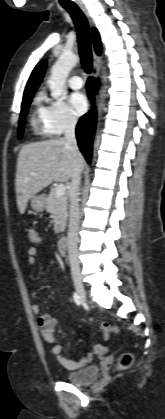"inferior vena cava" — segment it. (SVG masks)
I'll return each instance as SVG.
<instances>
[{"mask_svg": "<svg viewBox=\"0 0 165 419\" xmlns=\"http://www.w3.org/2000/svg\"><path fill=\"white\" fill-rule=\"evenodd\" d=\"M77 124V119L73 116H69L66 121L65 127V140L67 146L69 147L72 160H73V172L71 176V184L69 189L70 196V212H69V229H68V258L69 264L71 266V271L73 277H80V267L78 260V227H79V203H78V194L79 186L81 183V172L82 166L78 163V157L81 156V153L77 146V141L75 137V127Z\"/></svg>", "mask_w": 165, "mask_h": 419, "instance_id": "inferior-vena-cava-1", "label": "inferior vena cava"}]
</instances>
